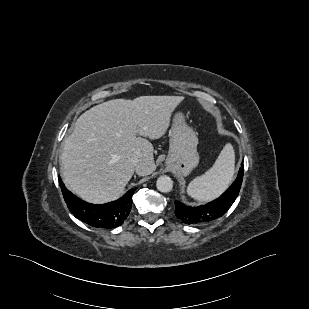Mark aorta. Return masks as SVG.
Segmentation results:
<instances>
[{
	"label": "aorta",
	"instance_id": "aorta-1",
	"mask_svg": "<svg viewBox=\"0 0 309 309\" xmlns=\"http://www.w3.org/2000/svg\"><path fill=\"white\" fill-rule=\"evenodd\" d=\"M156 186L160 192L168 193L173 188V181L169 176L163 175L157 179Z\"/></svg>",
	"mask_w": 309,
	"mask_h": 309
}]
</instances>
